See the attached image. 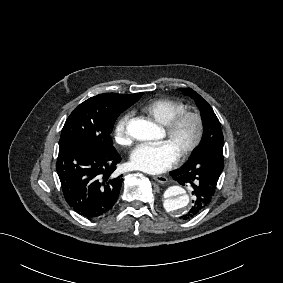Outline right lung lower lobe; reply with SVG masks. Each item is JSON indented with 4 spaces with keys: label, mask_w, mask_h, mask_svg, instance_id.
Listing matches in <instances>:
<instances>
[{
    "label": "right lung lower lobe",
    "mask_w": 283,
    "mask_h": 283,
    "mask_svg": "<svg viewBox=\"0 0 283 283\" xmlns=\"http://www.w3.org/2000/svg\"><path fill=\"white\" fill-rule=\"evenodd\" d=\"M120 160L115 148L99 149L83 141L60 144L56 168L69 206L89 219L107 214L122 186V175L113 174Z\"/></svg>",
    "instance_id": "98d812e1"
}]
</instances>
